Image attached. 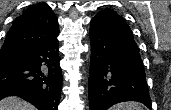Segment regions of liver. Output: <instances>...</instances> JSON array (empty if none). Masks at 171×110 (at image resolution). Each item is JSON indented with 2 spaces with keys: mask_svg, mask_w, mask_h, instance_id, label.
I'll return each mask as SVG.
<instances>
[{
  "mask_svg": "<svg viewBox=\"0 0 171 110\" xmlns=\"http://www.w3.org/2000/svg\"><path fill=\"white\" fill-rule=\"evenodd\" d=\"M0 110H35L28 102L18 97H7L0 101Z\"/></svg>",
  "mask_w": 171,
  "mask_h": 110,
  "instance_id": "liver-1",
  "label": "liver"
}]
</instances>
